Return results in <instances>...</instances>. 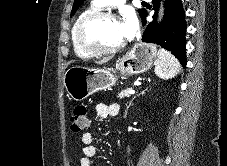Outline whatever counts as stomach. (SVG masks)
I'll list each match as a JSON object with an SVG mask.
<instances>
[{
  "instance_id": "1",
  "label": "stomach",
  "mask_w": 227,
  "mask_h": 166,
  "mask_svg": "<svg viewBox=\"0 0 227 166\" xmlns=\"http://www.w3.org/2000/svg\"><path fill=\"white\" fill-rule=\"evenodd\" d=\"M157 48L152 44L138 43L117 62V70L125 76L148 71L156 61ZM117 78L107 69L72 66L63 76V84L69 97L82 101L100 90L110 89Z\"/></svg>"
}]
</instances>
